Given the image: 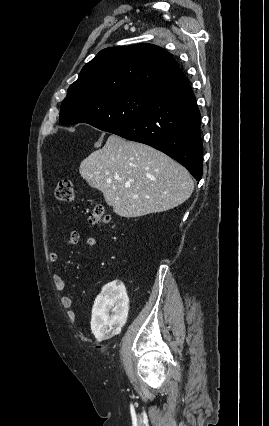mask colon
I'll return each instance as SVG.
<instances>
[{
	"instance_id": "obj_1",
	"label": "colon",
	"mask_w": 269,
	"mask_h": 426,
	"mask_svg": "<svg viewBox=\"0 0 269 426\" xmlns=\"http://www.w3.org/2000/svg\"><path fill=\"white\" fill-rule=\"evenodd\" d=\"M55 195L59 201L67 203L73 202L75 200V191L72 181L67 179L59 181L55 190ZM87 215L89 222L93 225H111L110 216L105 212L103 206L100 204L91 203L87 210Z\"/></svg>"
}]
</instances>
